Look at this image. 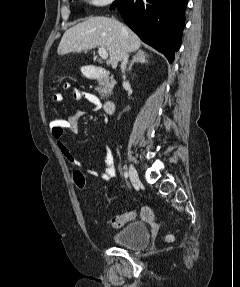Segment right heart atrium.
<instances>
[{
	"mask_svg": "<svg viewBox=\"0 0 240 287\" xmlns=\"http://www.w3.org/2000/svg\"><path fill=\"white\" fill-rule=\"evenodd\" d=\"M89 4L93 6H105L113 2V0H86Z\"/></svg>",
	"mask_w": 240,
	"mask_h": 287,
	"instance_id": "1",
	"label": "right heart atrium"
}]
</instances>
